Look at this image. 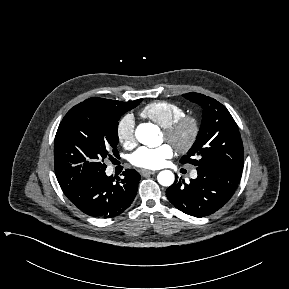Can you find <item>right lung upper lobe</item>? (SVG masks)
Masks as SVG:
<instances>
[{
    "mask_svg": "<svg viewBox=\"0 0 289 289\" xmlns=\"http://www.w3.org/2000/svg\"><path fill=\"white\" fill-rule=\"evenodd\" d=\"M134 102V101H132ZM132 102H122L103 98H89L82 102V104H89L101 108H118L120 106L132 103Z\"/></svg>",
    "mask_w": 289,
    "mask_h": 289,
    "instance_id": "1",
    "label": "right lung upper lobe"
}]
</instances>
